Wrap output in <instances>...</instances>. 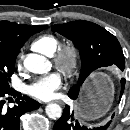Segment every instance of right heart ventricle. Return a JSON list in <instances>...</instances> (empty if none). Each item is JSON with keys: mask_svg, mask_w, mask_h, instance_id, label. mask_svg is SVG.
I'll return each instance as SVG.
<instances>
[{"mask_svg": "<svg viewBox=\"0 0 130 130\" xmlns=\"http://www.w3.org/2000/svg\"><path fill=\"white\" fill-rule=\"evenodd\" d=\"M59 45V39L53 34L41 35L32 42V48L46 56H53Z\"/></svg>", "mask_w": 130, "mask_h": 130, "instance_id": "obj_1", "label": "right heart ventricle"}]
</instances>
